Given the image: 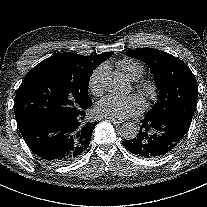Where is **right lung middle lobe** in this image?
Wrapping results in <instances>:
<instances>
[{"label": "right lung middle lobe", "mask_w": 207, "mask_h": 207, "mask_svg": "<svg viewBox=\"0 0 207 207\" xmlns=\"http://www.w3.org/2000/svg\"><path fill=\"white\" fill-rule=\"evenodd\" d=\"M89 80L61 69L33 68L16 93V122L42 116L78 117L92 105Z\"/></svg>", "instance_id": "1"}]
</instances>
